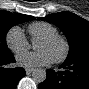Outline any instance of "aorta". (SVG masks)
Listing matches in <instances>:
<instances>
[{
    "label": "aorta",
    "mask_w": 89,
    "mask_h": 89,
    "mask_svg": "<svg viewBox=\"0 0 89 89\" xmlns=\"http://www.w3.org/2000/svg\"><path fill=\"white\" fill-rule=\"evenodd\" d=\"M32 79L36 83H42L46 79V71L42 68H37L32 72Z\"/></svg>",
    "instance_id": "aorta-1"
}]
</instances>
